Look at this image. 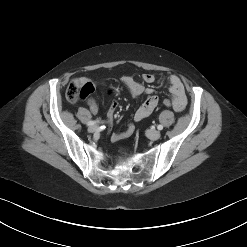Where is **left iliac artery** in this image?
<instances>
[{
	"instance_id": "44dca946",
	"label": "left iliac artery",
	"mask_w": 247,
	"mask_h": 247,
	"mask_svg": "<svg viewBox=\"0 0 247 247\" xmlns=\"http://www.w3.org/2000/svg\"><path fill=\"white\" fill-rule=\"evenodd\" d=\"M157 129H158V130H162V129H163V126H162V125H158V126H157Z\"/></svg>"
}]
</instances>
